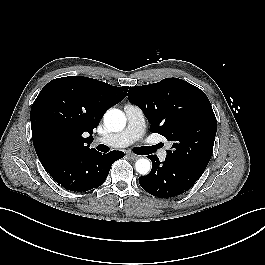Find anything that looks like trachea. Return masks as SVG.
Listing matches in <instances>:
<instances>
[{
    "mask_svg": "<svg viewBox=\"0 0 265 265\" xmlns=\"http://www.w3.org/2000/svg\"><path fill=\"white\" fill-rule=\"evenodd\" d=\"M156 149H157V146H144V147L135 148L134 152L138 155H148V154L155 152Z\"/></svg>",
    "mask_w": 265,
    "mask_h": 265,
    "instance_id": "trachea-1",
    "label": "trachea"
}]
</instances>
